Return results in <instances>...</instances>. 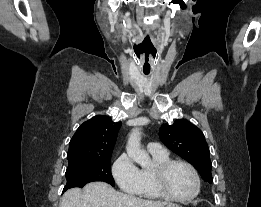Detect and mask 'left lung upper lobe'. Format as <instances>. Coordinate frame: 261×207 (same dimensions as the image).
Segmentation results:
<instances>
[{
  "label": "left lung upper lobe",
  "mask_w": 261,
  "mask_h": 207,
  "mask_svg": "<svg viewBox=\"0 0 261 207\" xmlns=\"http://www.w3.org/2000/svg\"><path fill=\"white\" fill-rule=\"evenodd\" d=\"M159 136L170 150L190 162L204 181L212 183L210 152L204 134L198 127L179 119L173 125L163 124Z\"/></svg>",
  "instance_id": "1"
}]
</instances>
